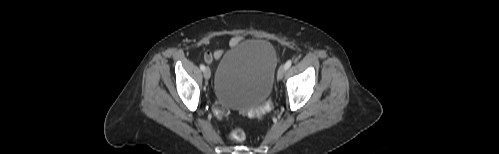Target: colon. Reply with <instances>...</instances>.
I'll list each match as a JSON object with an SVG mask.
<instances>
[{
	"label": "colon",
	"mask_w": 499,
	"mask_h": 154,
	"mask_svg": "<svg viewBox=\"0 0 499 154\" xmlns=\"http://www.w3.org/2000/svg\"><path fill=\"white\" fill-rule=\"evenodd\" d=\"M271 108H272V102L270 100H267L262 105L249 109L245 113L250 117H260L263 116L268 111H270ZM229 113H230L229 108L226 107L221 102H216L213 105V114L216 119L224 120L227 118ZM245 137L246 135L244 131L241 129H234L229 133V138L235 142H242L245 140Z\"/></svg>",
	"instance_id": "1"
}]
</instances>
